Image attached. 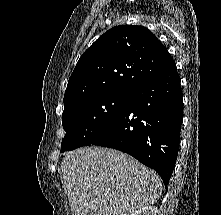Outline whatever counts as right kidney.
Masks as SVG:
<instances>
[{
  "label": "right kidney",
  "instance_id": "right-kidney-1",
  "mask_svg": "<svg viewBox=\"0 0 221 215\" xmlns=\"http://www.w3.org/2000/svg\"><path fill=\"white\" fill-rule=\"evenodd\" d=\"M157 212V207L150 205L133 212L131 215H157Z\"/></svg>",
  "mask_w": 221,
  "mask_h": 215
}]
</instances>
